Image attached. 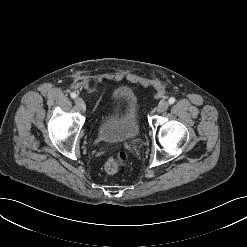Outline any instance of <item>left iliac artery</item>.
I'll return each instance as SVG.
<instances>
[{"label":"left iliac artery","mask_w":247,"mask_h":247,"mask_svg":"<svg viewBox=\"0 0 247 247\" xmlns=\"http://www.w3.org/2000/svg\"><path fill=\"white\" fill-rule=\"evenodd\" d=\"M175 101H176L175 98L171 97L168 102H169V104H173Z\"/></svg>","instance_id":"obj_1"}]
</instances>
